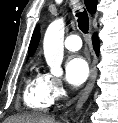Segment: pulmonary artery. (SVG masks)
<instances>
[{
	"instance_id": "e3ab8cb5",
	"label": "pulmonary artery",
	"mask_w": 118,
	"mask_h": 123,
	"mask_svg": "<svg viewBox=\"0 0 118 123\" xmlns=\"http://www.w3.org/2000/svg\"><path fill=\"white\" fill-rule=\"evenodd\" d=\"M64 46L70 51H77L82 46L80 37L76 34H71L65 38Z\"/></svg>"
}]
</instances>
